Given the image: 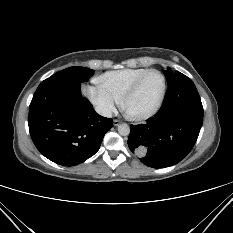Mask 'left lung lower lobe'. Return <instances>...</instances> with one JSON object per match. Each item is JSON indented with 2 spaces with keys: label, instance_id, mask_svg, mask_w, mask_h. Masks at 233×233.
<instances>
[{
  "label": "left lung lower lobe",
  "instance_id": "left-lung-lower-lobe-1",
  "mask_svg": "<svg viewBox=\"0 0 233 233\" xmlns=\"http://www.w3.org/2000/svg\"><path fill=\"white\" fill-rule=\"evenodd\" d=\"M203 124V106L190 78L172 75L160 110L145 124L131 126L128 146L152 168L179 163L193 148Z\"/></svg>",
  "mask_w": 233,
  "mask_h": 233
}]
</instances>
